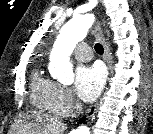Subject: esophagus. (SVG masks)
<instances>
[{
	"label": "esophagus",
	"instance_id": "1",
	"mask_svg": "<svg viewBox=\"0 0 153 134\" xmlns=\"http://www.w3.org/2000/svg\"><path fill=\"white\" fill-rule=\"evenodd\" d=\"M94 34H95V37L102 43V45L104 47V60L108 66L109 71L112 72V70H111L112 61H111L109 46L105 40L103 31L101 28V24L99 21L97 22V24L95 26ZM98 107H99V103L97 102L88 109L86 115L88 117L94 115L96 113Z\"/></svg>",
	"mask_w": 153,
	"mask_h": 134
}]
</instances>
